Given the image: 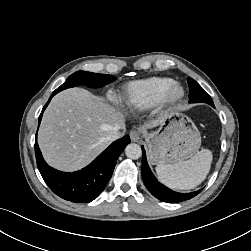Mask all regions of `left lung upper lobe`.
<instances>
[{"label": "left lung upper lobe", "instance_id": "1", "mask_svg": "<svg viewBox=\"0 0 251 251\" xmlns=\"http://www.w3.org/2000/svg\"><path fill=\"white\" fill-rule=\"evenodd\" d=\"M187 81L190 88V103L204 102L211 105L212 107H215L210 95L195 80L189 77Z\"/></svg>", "mask_w": 251, "mask_h": 251}]
</instances>
